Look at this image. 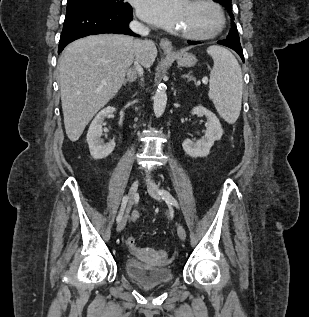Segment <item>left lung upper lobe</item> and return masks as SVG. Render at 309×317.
<instances>
[{"instance_id":"obj_1","label":"left lung upper lobe","mask_w":309,"mask_h":317,"mask_svg":"<svg viewBox=\"0 0 309 317\" xmlns=\"http://www.w3.org/2000/svg\"><path fill=\"white\" fill-rule=\"evenodd\" d=\"M214 1L219 2L220 4H222L227 9V11L229 12L231 19H234V15L232 14V3H231V0H214ZM227 39L231 40V41H233L235 43H240L238 30H237L236 24L233 21L231 22V29H230V32H229V34L227 36Z\"/></svg>"}]
</instances>
